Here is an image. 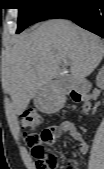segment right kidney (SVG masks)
I'll use <instances>...</instances> for the list:
<instances>
[{"label": "right kidney", "instance_id": "right-kidney-1", "mask_svg": "<svg viewBox=\"0 0 104 169\" xmlns=\"http://www.w3.org/2000/svg\"><path fill=\"white\" fill-rule=\"evenodd\" d=\"M96 83L98 86H102L104 84V68H102L96 78Z\"/></svg>", "mask_w": 104, "mask_h": 169}]
</instances>
